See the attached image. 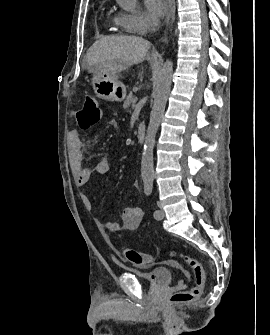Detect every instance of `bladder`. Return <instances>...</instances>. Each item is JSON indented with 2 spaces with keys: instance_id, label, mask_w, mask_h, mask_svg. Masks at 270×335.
Here are the masks:
<instances>
[{
  "instance_id": "bladder-1",
  "label": "bladder",
  "mask_w": 270,
  "mask_h": 335,
  "mask_svg": "<svg viewBox=\"0 0 270 335\" xmlns=\"http://www.w3.org/2000/svg\"><path fill=\"white\" fill-rule=\"evenodd\" d=\"M131 273L137 275L140 280L149 283L151 286L153 285L156 288H159L170 284L174 270L168 268H155L148 273L139 274L137 271H131Z\"/></svg>"
}]
</instances>
